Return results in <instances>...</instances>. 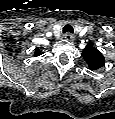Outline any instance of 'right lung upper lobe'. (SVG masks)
I'll return each instance as SVG.
<instances>
[{
  "instance_id": "cb5924a9",
  "label": "right lung upper lobe",
  "mask_w": 115,
  "mask_h": 119,
  "mask_svg": "<svg viewBox=\"0 0 115 119\" xmlns=\"http://www.w3.org/2000/svg\"><path fill=\"white\" fill-rule=\"evenodd\" d=\"M41 55V51L39 49H36L35 52H34V56L37 57V56H40Z\"/></svg>"
}]
</instances>
